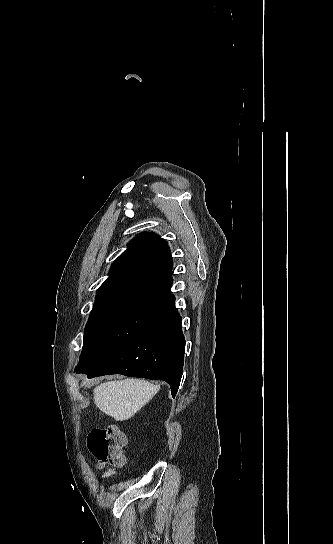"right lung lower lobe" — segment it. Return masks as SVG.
<instances>
[{"instance_id": "right-lung-lower-lobe-1", "label": "right lung lower lobe", "mask_w": 333, "mask_h": 544, "mask_svg": "<svg viewBox=\"0 0 333 544\" xmlns=\"http://www.w3.org/2000/svg\"><path fill=\"white\" fill-rule=\"evenodd\" d=\"M185 339L181 317L171 303L144 331L77 373L88 378L122 374L130 377L160 379L169 383L175 397L183 374Z\"/></svg>"}]
</instances>
